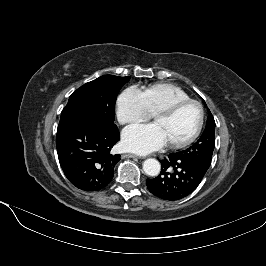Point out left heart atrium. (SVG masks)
<instances>
[{
	"mask_svg": "<svg viewBox=\"0 0 266 266\" xmlns=\"http://www.w3.org/2000/svg\"><path fill=\"white\" fill-rule=\"evenodd\" d=\"M123 145L136 153H148L163 147L167 142L156 124L132 125L122 134Z\"/></svg>",
	"mask_w": 266,
	"mask_h": 266,
	"instance_id": "left-heart-atrium-1",
	"label": "left heart atrium"
}]
</instances>
